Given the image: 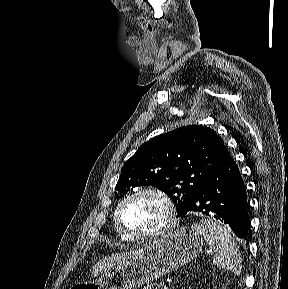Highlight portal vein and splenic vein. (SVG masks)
I'll list each match as a JSON object with an SVG mask.
<instances>
[{
    "instance_id": "portal-vein-and-splenic-vein-1",
    "label": "portal vein and splenic vein",
    "mask_w": 288,
    "mask_h": 289,
    "mask_svg": "<svg viewBox=\"0 0 288 289\" xmlns=\"http://www.w3.org/2000/svg\"><path fill=\"white\" fill-rule=\"evenodd\" d=\"M158 288L167 289V285L164 282L159 283Z\"/></svg>"
}]
</instances>
